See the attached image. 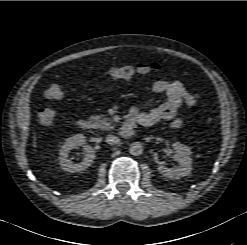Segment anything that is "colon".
<instances>
[{
  "label": "colon",
  "instance_id": "5ec220e1",
  "mask_svg": "<svg viewBox=\"0 0 247 245\" xmlns=\"http://www.w3.org/2000/svg\"><path fill=\"white\" fill-rule=\"evenodd\" d=\"M158 68L159 66L156 63H142L137 66H115L108 71V76L112 80L131 79L137 75H143ZM64 95L65 94L61 86L55 83L50 84L45 91V96L53 100H60L64 97ZM55 118L56 112L52 108H41L37 111L38 122L42 125L51 124ZM171 125L174 128H180L183 126V120L175 119L172 121Z\"/></svg>",
  "mask_w": 247,
  "mask_h": 245
}]
</instances>
